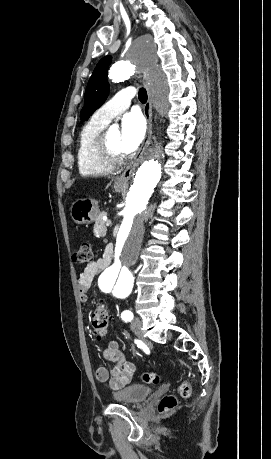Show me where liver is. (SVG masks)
Here are the masks:
<instances>
[{"label": "liver", "mask_w": 271, "mask_h": 459, "mask_svg": "<svg viewBox=\"0 0 271 459\" xmlns=\"http://www.w3.org/2000/svg\"><path fill=\"white\" fill-rule=\"evenodd\" d=\"M109 186H111V182H110V184H107L106 188H109Z\"/></svg>", "instance_id": "liver-1"}]
</instances>
